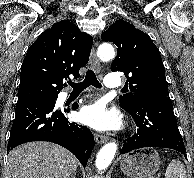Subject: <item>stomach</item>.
Here are the masks:
<instances>
[{
	"mask_svg": "<svg viewBox=\"0 0 194 178\" xmlns=\"http://www.w3.org/2000/svg\"><path fill=\"white\" fill-rule=\"evenodd\" d=\"M160 156L153 148H141L126 155L120 160L121 171L131 178H153L160 169Z\"/></svg>",
	"mask_w": 194,
	"mask_h": 178,
	"instance_id": "stomach-1",
	"label": "stomach"
}]
</instances>
